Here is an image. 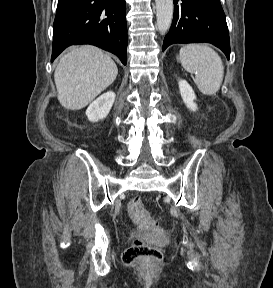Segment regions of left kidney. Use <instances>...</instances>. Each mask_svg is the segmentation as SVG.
Returning <instances> with one entry per match:
<instances>
[{
	"instance_id": "left-kidney-1",
	"label": "left kidney",
	"mask_w": 273,
	"mask_h": 288,
	"mask_svg": "<svg viewBox=\"0 0 273 288\" xmlns=\"http://www.w3.org/2000/svg\"><path fill=\"white\" fill-rule=\"evenodd\" d=\"M178 84H179L181 97L186 107L190 109L191 111H196L197 105L194 102V100L196 99V96L192 87L185 80H180Z\"/></svg>"
}]
</instances>
